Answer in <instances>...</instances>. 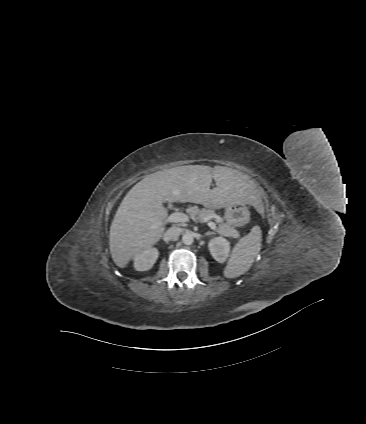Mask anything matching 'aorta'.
Here are the masks:
<instances>
[{"label":"aorta","mask_w":366,"mask_h":424,"mask_svg":"<svg viewBox=\"0 0 366 424\" xmlns=\"http://www.w3.org/2000/svg\"><path fill=\"white\" fill-rule=\"evenodd\" d=\"M182 242L185 245H191L194 242V236L191 232H186L183 236H182Z\"/></svg>","instance_id":"762f6f07"}]
</instances>
